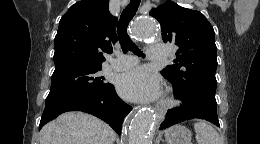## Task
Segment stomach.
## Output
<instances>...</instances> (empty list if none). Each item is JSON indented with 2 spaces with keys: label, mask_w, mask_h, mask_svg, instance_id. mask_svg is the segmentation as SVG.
<instances>
[{
  "label": "stomach",
  "mask_w": 260,
  "mask_h": 144,
  "mask_svg": "<svg viewBox=\"0 0 260 144\" xmlns=\"http://www.w3.org/2000/svg\"><path fill=\"white\" fill-rule=\"evenodd\" d=\"M191 131L182 125H175L165 131L167 144H191Z\"/></svg>",
  "instance_id": "1"
}]
</instances>
